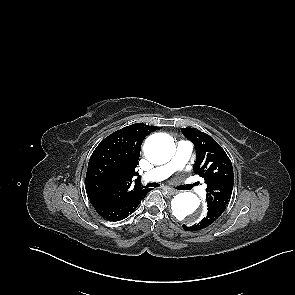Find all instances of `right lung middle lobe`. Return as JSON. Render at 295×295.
<instances>
[{
	"label": "right lung middle lobe",
	"instance_id": "obj_1",
	"mask_svg": "<svg viewBox=\"0 0 295 295\" xmlns=\"http://www.w3.org/2000/svg\"><path fill=\"white\" fill-rule=\"evenodd\" d=\"M106 181V175L101 171H93L89 176L90 186L93 188L100 187Z\"/></svg>",
	"mask_w": 295,
	"mask_h": 295
}]
</instances>
